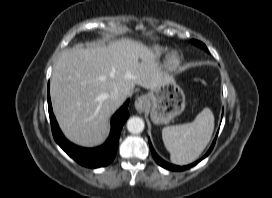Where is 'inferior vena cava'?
Returning <instances> with one entry per match:
<instances>
[{
  "instance_id": "602c4592",
  "label": "inferior vena cava",
  "mask_w": 272,
  "mask_h": 198,
  "mask_svg": "<svg viewBox=\"0 0 272 198\" xmlns=\"http://www.w3.org/2000/svg\"><path fill=\"white\" fill-rule=\"evenodd\" d=\"M110 98L113 101H118L120 98V92L118 89H114L111 93H110Z\"/></svg>"
}]
</instances>
